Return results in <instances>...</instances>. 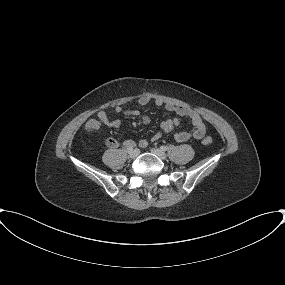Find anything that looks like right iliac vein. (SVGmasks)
Listing matches in <instances>:
<instances>
[{
  "label": "right iliac vein",
  "mask_w": 285,
  "mask_h": 285,
  "mask_svg": "<svg viewBox=\"0 0 285 285\" xmlns=\"http://www.w3.org/2000/svg\"><path fill=\"white\" fill-rule=\"evenodd\" d=\"M139 154H140L139 149H134V150H132V151L129 152V157H130L131 159H134V158H136Z\"/></svg>",
  "instance_id": "right-iliac-vein-1"
}]
</instances>
